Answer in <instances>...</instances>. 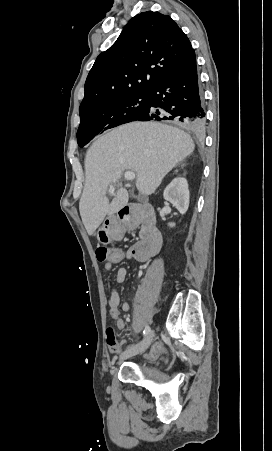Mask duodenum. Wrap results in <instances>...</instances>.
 <instances>
[{
  "label": "duodenum",
  "mask_w": 272,
  "mask_h": 451,
  "mask_svg": "<svg viewBox=\"0 0 272 451\" xmlns=\"http://www.w3.org/2000/svg\"><path fill=\"white\" fill-rule=\"evenodd\" d=\"M137 226L143 228V237L138 244L131 247L129 254L138 261H146L157 254L162 245V236L157 229L153 208L150 205L131 204L122 207L118 220L108 225V232L113 239H121L127 231Z\"/></svg>",
  "instance_id": "1"
}]
</instances>
